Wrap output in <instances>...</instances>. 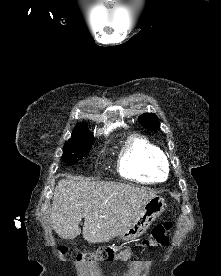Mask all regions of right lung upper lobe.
Returning a JSON list of instances; mask_svg holds the SVG:
<instances>
[{"label":"right lung upper lobe","instance_id":"1","mask_svg":"<svg viewBox=\"0 0 221 276\" xmlns=\"http://www.w3.org/2000/svg\"><path fill=\"white\" fill-rule=\"evenodd\" d=\"M94 141V136L88 132L84 123H79L73 130L71 139L66 142H88Z\"/></svg>","mask_w":221,"mask_h":276}]
</instances>
